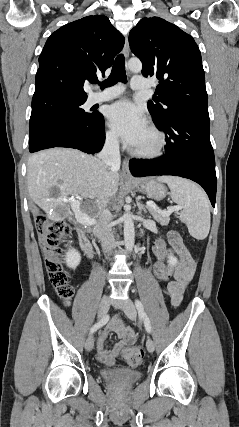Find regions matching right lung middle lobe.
<instances>
[{"instance_id": "right-lung-middle-lobe-1", "label": "right lung middle lobe", "mask_w": 239, "mask_h": 427, "mask_svg": "<svg viewBox=\"0 0 239 427\" xmlns=\"http://www.w3.org/2000/svg\"><path fill=\"white\" fill-rule=\"evenodd\" d=\"M86 99H78L63 95H53L32 99V113L29 125V143L37 133L52 119L64 114H71L79 123L85 124L95 114H88L82 108Z\"/></svg>"}]
</instances>
